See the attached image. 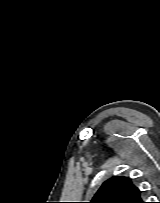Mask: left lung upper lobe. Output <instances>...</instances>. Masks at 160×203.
Returning <instances> with one entry per match:
<instances>
[{
    "mask_svg": "<svg viewBox=\"0 0 160 203\" xmlns=\"http://www.w3.org/2000/svg\"><path fill=\"white\" fill-rule=\"evenodd\" d=\"M90 203H144L141 191L126 177H113L102 184Z\"/></svg>",
    "mask_w": 160,
    "mask_h": 203,
    "instance_id": "left-lung-upper-lobe-1",
    "label": "left lung upper lobe"
}]
</instances>
